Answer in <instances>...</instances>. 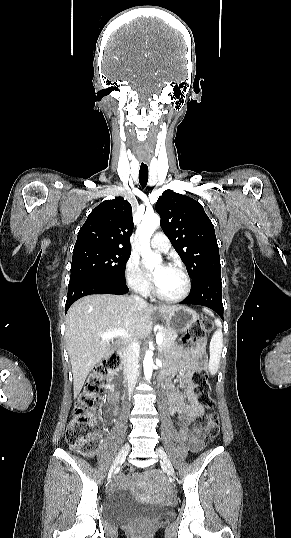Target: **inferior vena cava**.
Wrapping results in <instances>:
<instances>
[{
  "mask_svg": "<svg viewBox=\"0 0 291 538\" xmlns=\"http://www.w3.org/2000/svg\"><path fill=\"white\" fill-rule=\"evenodd\" d=\"M136 304L138 305H145L146 302L143 298H141L138 295H132L131 296ZM138 353H139V344L137 341H131L126 346V356H127V363H128V369H127V378H128V387H129V394L132 393L137 378L139 375L138 371Z\"/></svg>",
  "mask_w": 291,
  "mask_h": 538,
  "instance_id": "602c4592",
  "label": "inferior vena cava"
}]
</instances>
